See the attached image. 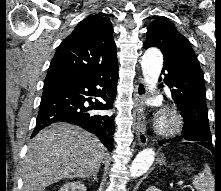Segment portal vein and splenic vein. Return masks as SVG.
Masks as SVG:
<instances>
[{
	"mask_svg": "<svg viewBox=\"0 0 221 191\" xmlns=\"http://www.w3.org/2000/svg\"><path fill=\"white\" fill-rule=\"evenodd\" d=\"M177 186L181 187V188H187L189 187V185H185L182 181H178L177 183Z\"/></svg>",
	"mask_w": 221,
	"mask_h": 191,
	"instance_id": "obj_1",
	"label": "portal vein and splenic vein"
}]
</instances>
